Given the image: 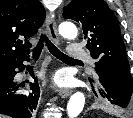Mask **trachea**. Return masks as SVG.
I'll list each match as a JSON object with an SVG mask.
<instances>
[{
	"label": "trachea",
	"mask_w": 133,
	"mask_h": 118,
	"mask_svg": "<svg viewBox=\"0 0 133 118\" xmlns=\"http://www.w3.org/2000/svg\"><path fill=\"white\" fill-rule=\"evenodd\" d=\"M44 43L48 47V50L53 54L56 58L62 60V61H71V62H78L82 63L80 60H76L74 58H71L61 52L49 39L46 35H41L40 40L37 44V46L32 50L33 52V58L37 59L40 56L41 50L44 46Z\"/></svg>",
	"instance_id": "1"
}]
</instances>
